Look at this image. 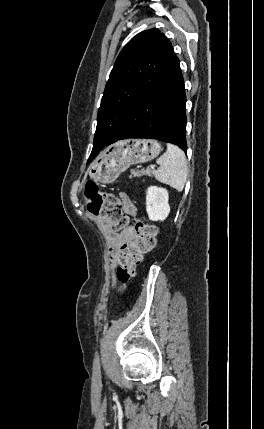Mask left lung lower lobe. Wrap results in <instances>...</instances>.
<instances>
[{
  "instance_id": "obj_1",
  "label": "left lung lower lobe",
  "mask_w": 264,
  "mask_h": 429,
  "mask_svg": "<svg viewBox=\"0 0 264 429\" xmlns=\"http://www.w3.org/2000/svg\"><path fill=\"white\" fill-rule=\"evenodd\" d=\"M186 96L179 60L171 46L158 78L142 99L133 123L121 139L153 138L187 150ZM97 154L90 156L89 161Z\"/></svg>"
}]
</instances>
